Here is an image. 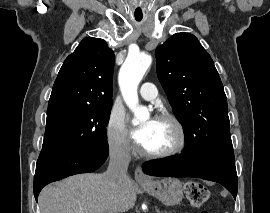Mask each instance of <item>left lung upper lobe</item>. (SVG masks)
<instances>
[{
    "label": "left lung upper lobe",
    "mask_w": 270,
    "mask_h": 213,
    "mask_svg": "<svg viewBox=\"0 0 270 213\" xmlns=\"http://www.w3.org/2000/svg\"><path fill=\"white\" fill-rule=\"evenodd\" d=\"M156 59L157 76L183 126L185 142L206 157L233 153L223 85L198 39L176 33L156 49Z\"/></svg>",
    "instance_id": "1"
}]
</instances>
